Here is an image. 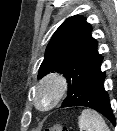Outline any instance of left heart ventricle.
I'll list each match as a JSON object with an SVG mask.
<instances>
[{
  "mask_svg": "<svg viewBox=\"0 0 117 131\" xmlns=\"http://www.w3.org/2000/svg\"><path fill=\"white\" fill-rule=\"evenodd\" d=\"M41 100H42V103H43V104L47 103L48 100H49V94H48V93L44 94V95L42 96Z\"/></svg>",
  "mask_w": 117,
  "mask_h": 131,
  "instance_id": "left-heart-ventricle-1",
  "label": "left heart ventricle"
}]
</instances>
